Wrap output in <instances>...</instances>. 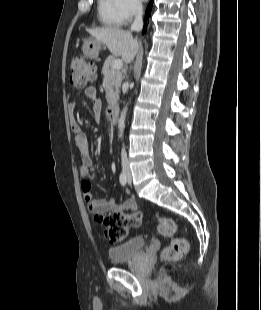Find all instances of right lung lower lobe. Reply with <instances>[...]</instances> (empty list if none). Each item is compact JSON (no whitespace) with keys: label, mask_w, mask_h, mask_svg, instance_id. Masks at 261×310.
<instances>
[{"label":"right lung lower lobe","mask_w":261,"mask_h":310,"mask_svg":"<svg viewBox=\"0 0 261 310\" xmlns=\"http://www.w3.org/2000/svg\"><path fill=\"white\" fill-rule=\"evenodd\" d=\"M152 3H153V1H151V2L149 3V5H148V7H147V9H146V12H145V14H146L145 21H147V18L150 16L151 8H152ZM143 30H144V31L147 30V24L144 25Z\"/></svg>","instance_id":"obj_1"}]
</instances>
